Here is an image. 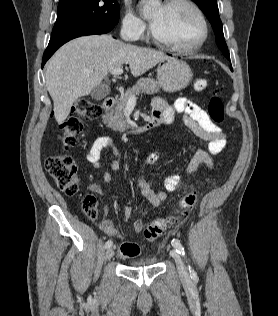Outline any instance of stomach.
<instances>
[{
    "label": "stomach",
    "instance_id": "stomach-1",
    "mask_svg": "<svg viewBox=\"0 0 278 316\" xmlns=\"http://www.w3.org/2000/svg\"><path fill=\"white\" fill-rule=\"evenodd\" d=\"M189 65L175 57H167L157 67L158 84L166 92L180 91L188 86L192 79Z\"/></svg>",
    "mask_w": 278,
    "mask_h": 316
}]
</instances>
